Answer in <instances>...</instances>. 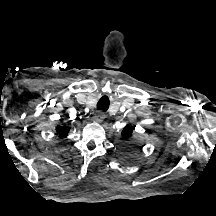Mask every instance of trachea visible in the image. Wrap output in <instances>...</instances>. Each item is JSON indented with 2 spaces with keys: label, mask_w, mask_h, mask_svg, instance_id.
I'll return each instance as SVG.
<instances>
[{
  "label": "trachea",
  "mask_w": 216,
  "mask_h": 216,
  "mask_svg": "<svg viewBox=\"0 0 216 216\" xmlns=\"http://www.w3.org/2000/svg\"><path fill=\"white\" fill-rule=\"evenodd\" d=\"M109 108V99L106 96H103L100 98V100L97 103V110H101L103 112H106Z\"/></svg>",
  "instance_id": "trachea-1"
}]
</instances>
